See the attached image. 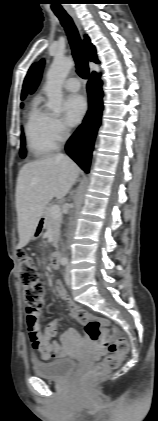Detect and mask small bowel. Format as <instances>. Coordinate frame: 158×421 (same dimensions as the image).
Returning a JSON list of instances; mask_svg holds the SVG:
<instances>
[{
    "instance_id": "c3829d8e",
    "label": "small bowel",
    "mask_w": 158,
    "mask_h": 421,
    "mask_svg": "<svg viewBox=\"0 0 158 421\" xmlns=\"http://www.w3.org/2000/svg\"><path fill=\"white\" fill-rule=\"evenodd\" d=\"M54 290L59 299L66 303L69 309V316L81 323L80 315L87 312L80 309V307L68 296L65 287L61 282L55 283ZM27 325L32 347L38 351L47 349L48 352L53 354L55 357H62L64 355V349L61 344L68 345L70 343L80 341V338L74 329H67L62 333L60 337L61 344L56 341H52L51 339L57 334L58 322L52 321L48 323L44 332H41L36 314L31 312L29 309L27 311Z\"/></svg>"
}]
</instances>
